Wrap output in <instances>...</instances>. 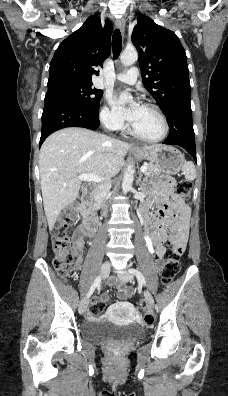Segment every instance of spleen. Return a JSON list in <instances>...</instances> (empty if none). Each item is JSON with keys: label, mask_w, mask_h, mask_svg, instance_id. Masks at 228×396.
<instances>
[{"label": "spleen", "mask_w": 228, "mask_h": 396, "mask_svg": "<svg viewBox=\"0 0 228 396\" xmlns=\"http://www.w3.org/2000/svg\"><path fill=\"white\" fill-rule=\"evenodd\" d=\"M182 174L185 176V179L188 181H192L196 177V169L193 162H186L182 166Z\"/></svg>", "instance_id": "spleen-1"}]
</instances>
